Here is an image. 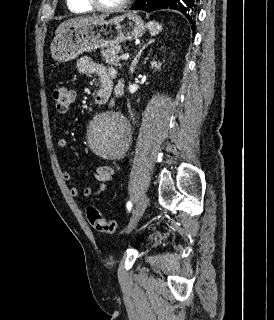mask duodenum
I'll use <instances>...</instances> for the list:
<instances>
[{
    "label": "duodenum",
    "mask_w": 274,
    "mask_h": 320,
    "mask_svg": "<svg viewBox=\"0 0 274 320\" xmlns=\"http://www.w3.org/2000/svg\"><path fill=\"white\" fill-rule=\"evenodd\" d=\"M109 94L105 91H100L96 94L95 98H94V102L96 104H105L109 101Z\"/></svg>",
    "instance_id": "1"
}]
</instances>
